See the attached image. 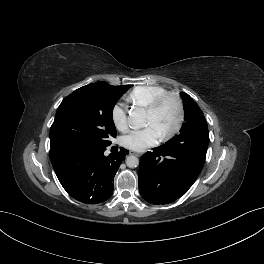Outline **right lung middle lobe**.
<instances>
[{
  "mask_svg": "<svg viewBox=\"0 0 264 264\" xmlns=\"http://www.w3.org/2000/svg\"><path fill=\"white\" fill-rule=\"evenodd\" d=\"M130 87L97 82L65 97L51 126V147L66 142L110 145L109 138L116 136L114 105Z\"/></svg>",
  "mask_w": 264,
  "mask_h": 264,
  "instance_id": "1",
  "label": "right lung middle lobe"
}]
</instances>
